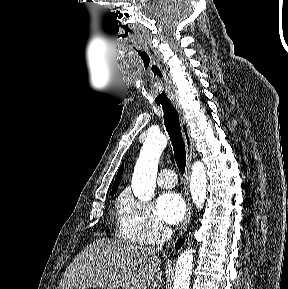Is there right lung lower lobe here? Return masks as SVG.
<instances>
[{"mask_svg":"<svg viewBox=\"0 0 288 289\" xmlns=\"http://www.w3.org/2000/svg\"><path fill=\"white\" fill-rule=\"evenodd\" d=\"M183 242H184V239L178 240V242H177V244H176V250L181 247V245L183 244Z\"/></svg>","mask_w":288,"mask_h":289,"instance_id":"right-lung-lower-lobe-1","label":"right lung lower lobe"}]
</instances>
